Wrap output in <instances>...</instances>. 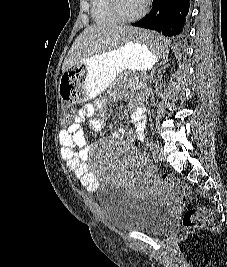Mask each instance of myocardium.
Segmentation results:
<instances>
[{"label":"myocardium","instance_id":"f54148a6","mask_svg":"<svg viewBox=\"0 0 227 267\" xmlns=\"http://www.w3.org/2000/svg\"><path fill=\"white\" fill-rule=\"evenodd\" d=\"M109 8L113 15L122 22H134L142 18L147 11V4L144 3L141 9L134 15L124 13L120 7V0H108Z\"/></svg>","mask_w":227,"mask_h":267}]
</instances>
